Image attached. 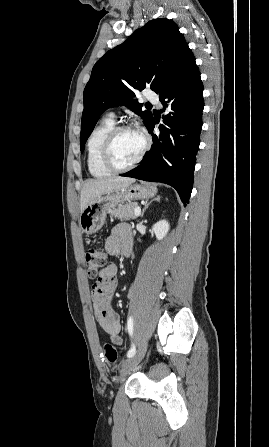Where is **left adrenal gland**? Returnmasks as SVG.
Listing matches in <instances>:
<instances>
[{
    "instance_id": "a2214340",
    "label": "left adrenal gland",
    "mask_w": 269,
    "mask_h": 447,
    "mask_svg": "<svg viewBox=\"0 0 269 447\" xmlns=\"http://www.w3.org/2000/svg\"><path fill=\"white\" fill-rule=\"evenodd\" d=\"M155 200H156V202H159L160 196H157V198H154V200H151V202H149V204H146L145 208H143V210H142V214H141L140 218H142V216H144L145 210H147L148 206H150V204H152V202H155Z\"/></svg>"
}]
</instances>
